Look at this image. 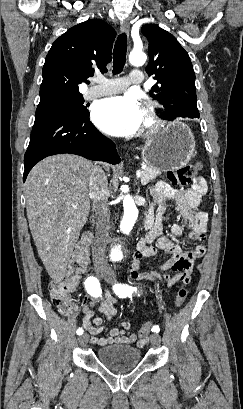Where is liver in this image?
Listing matches in <instances>:
<instances>
[{
  "label": "liver",
  "mask_w": 243,
  "mask_h": 409,
  "mask_svg": "<svg viewBox=\"0 0 243 409\" xmlns=\"http://www.w3.org/2000/svg\"><path fill=\"white\" fill-rule=\"evenodd\" d=\"M92 163L71 154L49 156L37 163L25 182L29 228L50 277L61 282L85 225L90 200ZM109 171V165L103 164Z\"/></svg>",
  "instance_id": "obj_1"
}]
</instances>
